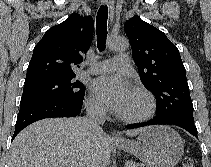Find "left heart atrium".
Listing matches in <instances>:
<instances>
[{"label":"left heart atrium","mask_w":211,"mask_h":167,"mask_svg":"<svg viewBox=\"0 0 211 167\" xmlns=\"http://www.w3.org/2000/svg\"><path fill=\"white\" fill-rule=\"evenodd\" d=\"M90 89L102 103L118 114L123 113L133 93L131 85L116 75L94 79Z\"/></svg>","instance_id":"1"}]
</instances>
